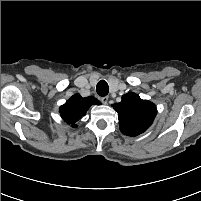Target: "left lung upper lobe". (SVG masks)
<instances>
[{
	"label": "left lung upper lobe",
	"instance_id": "left-lung-upper-lobe-1",
	"mask_svg": "<svg viewBox=\"0 0 201 201\" xmlns=\"http://www.w3.org/2000/svg\"><path fill=\"white\" fill-rule=\"evenodd\" d=\"M112 106L118 113L120 131L127 136L145 132L157 114L155 104L133 92L123 95L122 101Z\"/></svg>",
	"mask_w": 201,
	"mask_h": 201
}]
</instances>
